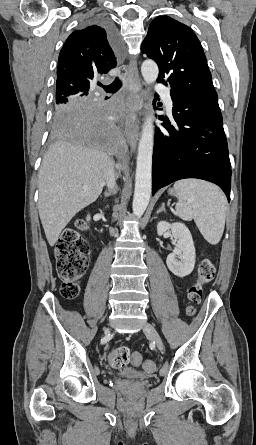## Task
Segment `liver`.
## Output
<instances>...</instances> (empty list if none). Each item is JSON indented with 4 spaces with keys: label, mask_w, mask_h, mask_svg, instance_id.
<instances>
[{
    "label": "liver",
    "mask_w": 256,
    "mask_h": 445,
    "mask_svg": "<svg viewBox=\"0 0 256 445\" xmlns=\"http://www.w3.org/2000/svg\"><path fill=\"white\" fill-rule=\"evenodd\" d=\"M109 157L83 142L56 141L39 171L38 211L50 246L83 208L97 200L105 185Z\"/></svg>",
    "instance_id": "liver-1"
}]
</instances>
